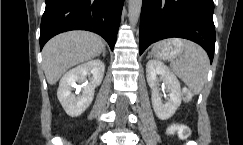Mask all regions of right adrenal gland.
I'll use <instances>...</instances> for the list:
<instances>
[{
    "label": "right adrenal gland",
    "mask_w": 243,
    "mask_h": 145,
    "mask_svg": "<svg viewBox=\"0 0 243 145\" xmlns=\"http://www.w3.org/2000/svg\"><path fill=\"white\" fill-rule=\"evenodd\" d=\"M102 56L105 57L106 56V49L105 47L103 48V51H102Z\"/></svg>",
    "instance_id": "obj_1"
}]
</instances>
